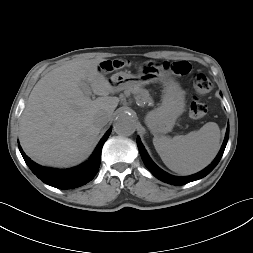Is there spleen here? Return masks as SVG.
I'll use <instances>...</instances> for the list:
<instances>
[{
    "instance_id": "1",
    "label": "spleen",
    "mask_w": 253,
    "mask_h": 253,
    "mask_svg": "<svg viewBox=\"0 0 253 253\" xmlns=\"http://www.w3.org/2000/svg\"><path fill=\"white\" fill-rule=\"evenodd\" d=\"M153 144L170 170L190 175L205 168L215 158L220 148V129L216 123L208 122L187 135L155 136Z\"/></svg>"
}]
</instances>
